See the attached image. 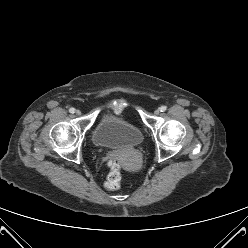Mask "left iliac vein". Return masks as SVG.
I'll return each mask as SVG.
<instances>
[{
    "label": "left iliac vein",
    "instance_id": "left-iliac-vein-1",
    "mask_svg": "<svg viewBox=\"0 0 248 248\" xmlns=\"http://www.w3.org/2000/svg\"><path fill=\"white\" fill-rule=\"evenodd\" d=\"M154 114H155V115H159V114H160V110H159V109H156V110L154 111Z\"/></svg>",
    "mask_w": 248,
    "mask_h": 248
}]
</instances>
